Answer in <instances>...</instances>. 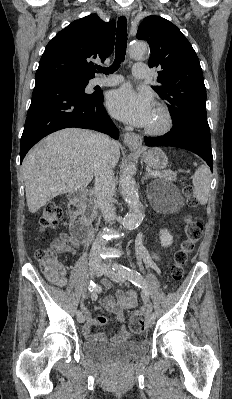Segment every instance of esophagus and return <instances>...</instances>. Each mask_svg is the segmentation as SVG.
Returning <instances> with one entry per match:
<instances>
[{
    "label": "esophagus",
    "mask_w": 232,
    "mask_h": 399,
    "mask_svg": "<svg viewBox=\"0 0 232 399\" xmlns=\"http://www.w3.org/2000/svg\"><path fill=\"white\" fill-rule=\"evenodd\" d=\"M119 15L128 18L130 15V10L128 8H121ZM123 139L124 143L131 149H138L142 145V137L133 132L125 133Z\"/></svg>",
    "instance_id": "obj_1"
}]
</instances>
